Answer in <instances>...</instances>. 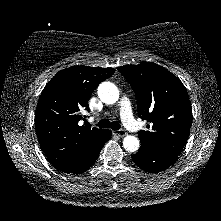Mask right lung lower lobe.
Returning a JSON list of instances; mask_svg holds the SVG:
<instances>
[{
  "instance_id": "right-lung-lower-lobe-1",
  "label": "right lung lower lobe",
  "mask_w": 221,
  "mask_h": 221,
  "mask_svg": "<svg viewBox=\"0 0 221 221\" xmlns=\"http://www.w3.org/2000/svg\"><path fill=\"white\" fill-rule=\"evenodd\" d=\"M111 131L104 130L102 134L93 141L76 159L60 171L80 174L88 170L97 160L104 144L111 138Z\"/></svg>"
}]
</instances>
